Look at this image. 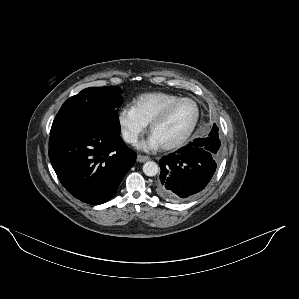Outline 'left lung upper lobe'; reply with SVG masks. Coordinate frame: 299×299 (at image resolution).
<instances>
[{"instance_id": "obj_1", "label": "left lung upper lobe", "mask_w": 299, "mask_h": 299, "mask_svg": "<svg viewBox=\"0 0 299 299\" xmlns=\"http://www.w3.org/2000/svg\"><path fill=\"white\" fill-rule=\"evenodd\" d=\"M218 127L214 124L211 132L209 133V135H207V137H209V141L211 144H213L212 146L214 148H216L219 152V148H220V140H219V135H218Z\"/></svg>"}]
</instances>
